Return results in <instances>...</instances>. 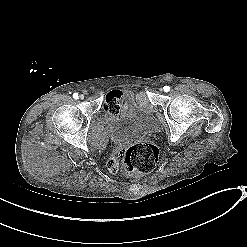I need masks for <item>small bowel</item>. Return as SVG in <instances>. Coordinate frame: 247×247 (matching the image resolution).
<instances>
[{
	"mask_svg": "<svg viewBox=\"0 0 247 247\" xmlns=\"http://www.w3.org/2000/svg\"><path fill=\"white\" fill-rule=\"evenodd\" d=\"M127 105V98L124 94L120 92H112L105 99V105L103 108V115L108 120L117 119L121 110L124 109ZM126 128V126H123ZM112 139L116 143H121L125 139V134L121 130H116L112 134ZM124 150V146H117L116 150ZM106 167L111 172H116L118 170V165L115 163V158L112 155L107 156L106 158Z\"/></svg>",
	"mask_w": 247,
	"mask_h": 247,
	"instance_id": "c3829d8e",
	"label": "small bowel"
}]
</instances>
